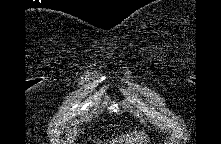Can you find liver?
I'll use <instances>...</instances> for the list:
<instances>
[{
  "instance_id": "liver-1",
  "label": "liver",
  "mask_w": 221,
  "mask_h": 144,
  "mask_svg": "<svg viewBox=\"0 0 221 144\" xmlns=\"http://www.w3.org/2000/svg\"><path fill=\"white\" fill-rule=\"evenodd\" d=\"M123 138L125 140H123ZM117 142H119V144H123V142H125V144H146L148 141L143 133H137L135 134V137H133V134L121 135V139H119Z\"/></svg>"
}]
</instances>
